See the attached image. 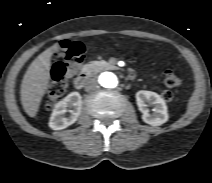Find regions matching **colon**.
I'll return each instance as SVG.
<instances>
[{
	"label": "colon",
	"instance_id": "obj_1",
	"mask_svg": "<svg viewBox=\"0 0 212 183\" xmlns=\"http://www.w3.org/2000/svg\"><path fill=\"white\" fill-rule=\"evenodd\" d=\"M57 56L62 60L57 62L52 69V80L48 90L47 105L53 107L65 94L69 79L75 75L84 58V47L79 42L62 41L57 49ZM183 83L182 78L173 70H166L162 74V84L166 90L162 91L164 101L173 97L169 89L179 88Z\"/></svg>",
	"mask_w": 212,
	"mask_h": 183
}]
</instances>
